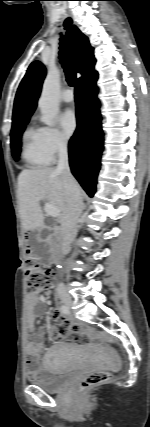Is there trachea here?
Wrapping results in <instances>:
<instances>
[{
  "label": "trachea",
  "mask_w": 150,
  "mask_h": 427,
  "mask_svg": "<svg viewBox=\"0 0 150 427\" xmlns=\"http://www.w3.org/2000/svg\"><path fill=\"white\" fill-rule=\"evenodd\" d=\"M70 23H71V20L68 18L66 20L65 24L69 25ZM59 58H60V62L62 64V67L65 71L66 81L68 82V84L71 87H73L75 85V82H76V72H75V68L73 66V63H72V61L68 55L66 45H65V41H64V38L62 35L60 38Z\"/></svg>",
  "instance_id": "1"
}]
</instances>
